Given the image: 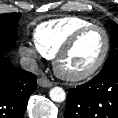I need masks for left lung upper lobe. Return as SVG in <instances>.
I'll return each instance as SVG.
<instances>
[{
    "label": "left lung upper lobe",
    "mask_w": 118,
    "mask_h": 118,
    "mask_svg": "<svg viewBox=\"0 0 118 118\" xmlns=\"http://www.w3.org/2000/svg\"><path fill=\"white\" fill-rule=\"evenodd\" d=\"M111 26V49L110 54L101 71H106L110 68L118 66V25L110 22Z\"/></svg>",
    "instance_id": "1"
}]
</instances>
